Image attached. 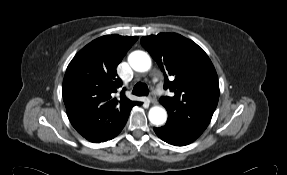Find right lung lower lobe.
Returning <instances> with one entry per match:
<instances>
[{"label": "right lung lower lobe", "mask_w": 287, "mask_h": 175, "mask_svg": "<svg viewBox=\"0 0 287 175\" xmlns=\"http://www.w3.org/2000/svg\"><path fill=\"white\" fill-rule=\"evenodd\" d=\"M126 122H127V120H126V121L120 126V128H119L111 137H109L107 140H110V139L114 138L115 136H117V135L121 132V130L123 129V127L125 126ZM107 140H105V141H107Z\"/></svg>", "instance_id": "1"}]
</instances>
